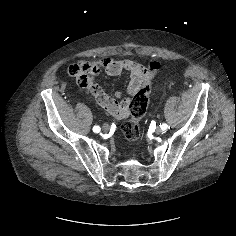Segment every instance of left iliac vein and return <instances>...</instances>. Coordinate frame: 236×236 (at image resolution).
<instances>
[{"instance_id": "obj_1", "label": "left iliac vein", "mask_w": 236, "mask_h": 236, "mask_svg": "<svg viewBox=\"0 0 236 236\" xmlns=\"http://www.w3.org/2000/svg\"><path fill=\"white\" fill-rule=\"evenodd\" d=\"M162 132H163V130H162L161 128H159V127L156 128V133H157V134H161Z\"/></svg>"}]
</instances>
